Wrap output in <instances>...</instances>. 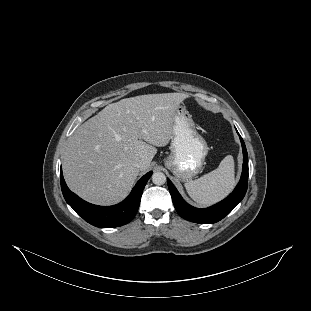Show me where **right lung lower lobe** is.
<instances>
[{
	"instance_id": "98d812e1",
	"label": "right lung lower lobe",
	"mask_w": 311,
	"mask_h": 311,
	"mask_svg": "<svg viewBox=\"0 0 311 311\" xmlns=\"http://www.w3.org/2000/svg\"><path fill=\"white\" fill-rule=\"evenodd\" d=\"M152 173L151 171L145 174L123 202L108 207L90 204L70 191L64 181L62 169L60 170V182L66 202L85 221L100 228H114L125 225L134 218L140 205L143 189Z\"/></svg>"
}]
</instances>
